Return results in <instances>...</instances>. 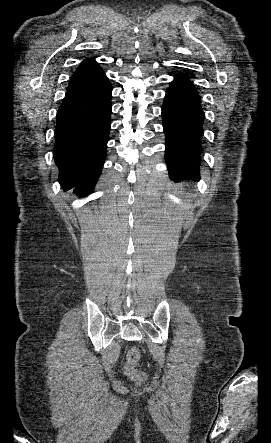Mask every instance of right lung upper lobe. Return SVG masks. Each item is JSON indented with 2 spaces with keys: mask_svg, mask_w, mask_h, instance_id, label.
Here are the masks:
<instances>
[{
  "mask_svg": "<svg viewBox=\"0 0 271 443\" xmlns=\"http://www.w3.org/2000/svg\"><path fill=\"white\" fill-rule=\"evenodd\" d=\"M107 78L94 59H86L76 69L70 80L69 86L77 84H89L95 83Z\"/></svg>",
  "mask_w": 271,
  "mask_h": 443,
  "instance_id": "cb5924a9",
  "label": "right lung upper lobe"
}]
</instances>
